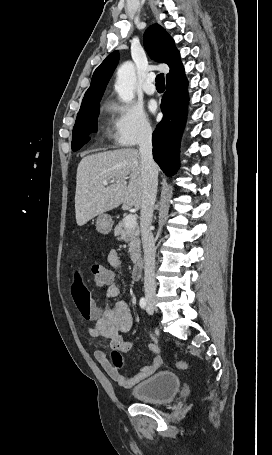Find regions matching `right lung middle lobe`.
Segmentation results:
<instances>
[{"label": "right lung middle lobe", "mask_w": 272, "mask_h": 455, "mask_svg": "<svg viewBox=\"0 0 272 455\" xmlns=\"http://www.w3.org/2000/svg\"><path fill=\"white\" fill-rule=\"evenodd\" d=\"M99 104L81 109L77 115L72 134V150L77 151L89 140L88 134L97 131Z\"/></svg>", "instance_id": "obj_1"}]
</instances>
